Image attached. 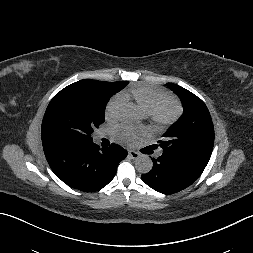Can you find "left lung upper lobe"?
<instances>
[{
    "mask_svg": "<svg viewBox=\"0 0 253 253\" xmlns=\"http://www.w3.org/2000/svg\"><path fill=\"white\" fill-rule=\"evenodd\" d=\"M167 86L180 97L184 112L164 133L159 146L163 153H171L206 167L214 144L210 113L204 102L190 91L173 83H167Z\"/></svg>",
    "mask_w": 253,
    "mask_h": 253,
    "instance_id": "5c2ea615",
    "label": "left lung upper lobe"
}]
</instances>
